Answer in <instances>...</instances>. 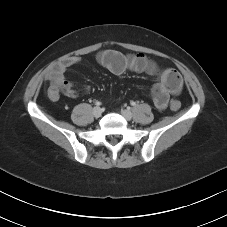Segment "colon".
I'll list each match as a JSON object with an SVG mask.
<instances>
[{
  "label": "colon",
  "mask_w": 227,
  "mask_h": 227,
  "mask_svg": "<svg viewBox=\"0 0 227 227\" xmlns=\"http://www.w3.org/2000/svg\"><path fill=\"white\" fill-rule=\"evenodd\" d=\"M161 78L169 85H177L181 83V77L179 73L171 68H167L162 71ZM181 108V103L178 100H172L170 102V109L172 111H179Z\"/></svg>",
  "instance_id": "5ec220e1"
}]
</instances>
